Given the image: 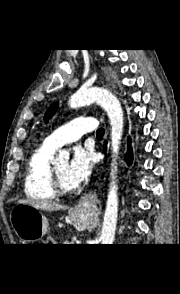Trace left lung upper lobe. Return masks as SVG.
<instances>
[{
    "label": "left lung upper lobe",
    "mask_w": 180,
    "mask_h": 294,
    "mask_svg": "<svg viewBox=\"0 0 180 294\" xmlns=\"http://www.w3.org/2000/svg\"><path fill=\"white\" fill-rule=\"evenodd\" d=\"M57 109H58V103H54L53 105H51L49 107V109L47 110V112L44 116L45 122H48V119L51 118L55 114Z\"/></svg>",
    "instance_id": "1"
}]
</instances>
